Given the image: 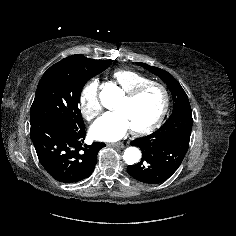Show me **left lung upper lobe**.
I'll list each match as a JSON object with an SVG mask.
<instances>
[{"label":"left lung upper lobe","instance_id":"left-lung-upper-lobe-1","mask_svg":"<svg viewBox=\"0 0 236 236\" xmlns=\"http://www.w3.org/2000/svg\"><path fill=\"white\" fill-rule=\"evenodd\" d=\"M137 64L159 76L167 84L173 97V112L178 110L179 108H190V103L185 91L183 90L179 82L170 73L160 68L147 65L145 63Z\"/></svg>","mask_w":236,"mask_h":236}]
</instances>
